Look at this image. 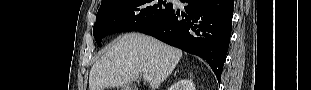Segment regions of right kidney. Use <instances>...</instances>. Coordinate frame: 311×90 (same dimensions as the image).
I'll list each match as a JSON object with an SVG mask.
<instances>
[{
	"label": "right kidney",
	"mask_w": 311,
	"mask_h": 90,
	"mask_svg": "<svg viewBox=\"0 0 311 90\" xmlns=\"http://www.w3.org/2000/svg\"><path fill=\"white\" fill-rule=\"evenodd\" d=\"M176 89H183V90H195V86L192 80H181L177 82Z\"/></svg>",
	"instance_id": "obj_1"
}]
</instances>
